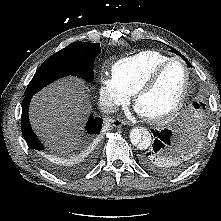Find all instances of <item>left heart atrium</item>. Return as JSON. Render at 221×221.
Segmentation results:
<instances>
[{
  "mask_svg": "<svg viewBox=\"0 0 221 221\" xmlns=\"http://www.w3.org/2000/svg\"><path fill=\"white\" fill-rule=\"evenodd\" d=\"M136 111L138 114L142 115V113L136 108Z\"/></svg>",
  "mask_w": 221,
  "mask_h": 221,
  "instance_id": "39dd6f15",
  "label": "left heart atrium"
}]
</instances>
